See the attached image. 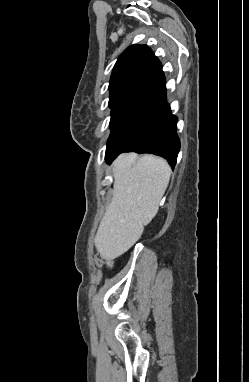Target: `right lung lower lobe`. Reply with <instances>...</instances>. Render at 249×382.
Listing matches in <instances>:
<instances>
[{
	"label": "right lung lower lobe",
	"mask_w": 249,
	"mask_h": 382,
	"mask_svg": "<svg viewBox=\"0 0 249 382\" xmlns=\"http://www.w3.org/2000/svg\"><path fill=\"white\" fill-rule=\"evenodd\" d=\"M176 124L177 117L171 114L164 95L128 130L107 144V163L122 152L150 153L167 159L174 168L180 150Z\"/></svg>",
	"instance_id": "1"
}]
</instances>
